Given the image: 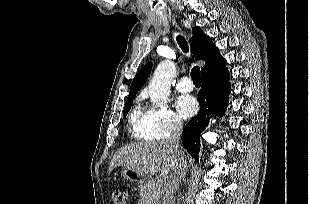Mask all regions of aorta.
I'll return each instance as SVG.
<instances>
[{
  "label": "aorta",
  "mask_w": 309,
  "mask_h": 204,
  "mask_svg": "<svg viewBox=\"0 0 309 204\" xmlns=\"http://www.w3.org/2000/svg\"><path fill=\"white\" fill-rule=\"evenodd\" d=\"M175 72L176 66L170 60L162 61L155 69L149 84V96L154 105L163 107L167 103L170 85Z\"/></svg>",
  "instance_id": "aorta-1"
}]
</instances>
